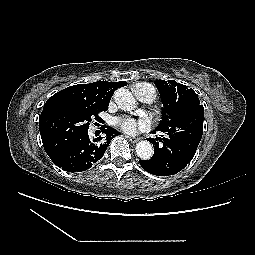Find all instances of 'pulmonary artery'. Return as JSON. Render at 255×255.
Here are the masks:
<instances>
[{
  "instance_id": "pulmonary-artery-1",
  "label": "pulmonary artery",
  "mask_w": 255,
  "mask_h": 255,
  "mask_svg": "<svg viewBox=\"0 0 255 255\" xmlns=\"http://www.w3.org/2000/svg\"><path fill=\"white\" fill-rule=\"evenodd\" d=\"M133 93L142 102L152 103L156 99L155 89L147 83L137 84L133 88Z\"/></svg>"
}]
</instances>
